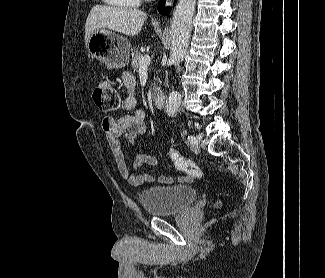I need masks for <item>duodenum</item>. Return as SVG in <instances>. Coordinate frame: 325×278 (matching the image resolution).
<instances>
[{
  "label": "duodenum",
  "instance_id": "duodenum-1",
  "mask_svg": "<svg viewBox=\"0 0 325 278\" xmlns=\"http://www.w3.org/2000/svg\"><path fill=\"white\" fill-rule=\"evenodd\" d=\"M153 101L158 109H163L165 106L166 97L162 91H157L153 96Z\"/></svg>",
  "mask_w": 325,
  "mask_h": 278
}]
</instances>
